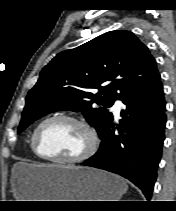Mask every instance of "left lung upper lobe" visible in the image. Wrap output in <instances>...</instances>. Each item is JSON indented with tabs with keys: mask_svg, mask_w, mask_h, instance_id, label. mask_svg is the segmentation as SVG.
Returning <instances> with one entry per match:
<instances>
[{
	"mask_svg": "<svg viewBox=\"0 0 176 211\" xmlns=\"http://www.w3.org/2000/svg\"><path fill=\"white\" fill-rule=\"evenodd\" d=\"M159 77L155 59L132 32H106L57 54L42 69L27 95L18 133L44 115L69 109L82 111L102 137L113 119L107 108Z\"/></svg>",
	"mask_w": 176,
	"mask_h": 211,
	"instance_id": "left-lung-upper-lobe-1",
	"label": "left lung upper lobe"
}]
</instances>
